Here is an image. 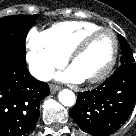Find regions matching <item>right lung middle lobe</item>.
<instances>
[{
  "instance_id": "1",
  "label": "right lung middle lobe",
  "mask_w": 136,
  "mask_h": 136,
  "mask_svg": "<svg viewBox=\"0 0 136 136\" xmlns=\"http://www.w3.org/2000/svg\"><path fill=\"white\" fill-rule=\"evenodd\" d=\"M38 15H14L0 19V60L26 61L25 39Z\"/></svg>"
}]
</instances>
